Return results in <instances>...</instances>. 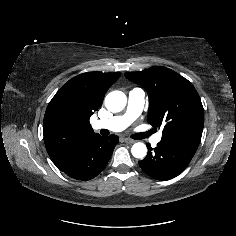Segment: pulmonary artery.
Wrapping results in <instances>:
<instances>
[{"label": "pulmonary artery", "instance_id": "obj_1", "mask_svg": "<svg viewBox=\"0 0 236 236\" xmlns=\"http://www.w3.org/2000/svg\"><path fill=\"white\" fill-rule=\"evenodd\" d=\"M144 103V90L141 88H133L128 94V104L125 113L106 120H96L93 123V128L106 129L113 132L123 131L140 115ZM161 136V132L153 136L151 139L152 144H157L161 140Z\"/></svg>", "mask_w": 236, "mask_h": 236}]
</instances>
